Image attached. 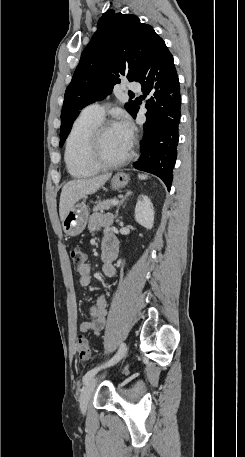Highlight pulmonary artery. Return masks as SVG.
I'll return each mask as SVG.
<instances>
[{
  "instance_id": "e3ab8cb5",
  "label": "pulmonary artery",
  "mask_w": 245,
  "mask_h": 457,
  "mask_svg": "<svg viewBox=\"0 0 245 457\" xmlns=\"http://www.w3.org/2000/svg\"><path fill=\"white\" fill-rule=\"evenodd\" d=\"M126 87L123 88V90H122L123 93H125V94L128 93L129 90H142L143 82L128 80L126 82ZM81 115H87V116H91V117H94L97 119H101L104 115V109L99 104H90V105L86 106L85 108H83Z\"/></svg>"
}]
</instances>
